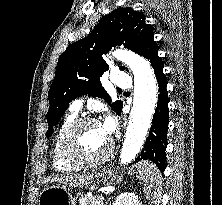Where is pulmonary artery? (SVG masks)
<instances>
[{"label": "pulmonary artery", "mask_w": 222, "mask_h": 205, "mask_svg": "<svg viewBox=\"0 0 222 205\" xmlns=\"http://www.w3.org/2000/svg\"><path fill=\"white\" fill-rule=\"evenodd\" d=\"M112 82L117 89H125L128 88L131 84V77L127 73L116 71L113 74ZM83 104H84L83 98L75 99L70 104V111L75 113L79 112L82 109Z\"/></svg>", "instance_id": "e3ab8cb5"}]
</instances>
